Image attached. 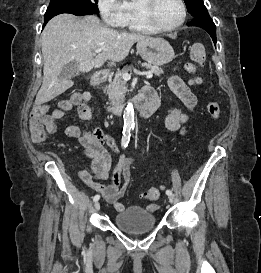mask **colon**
<instances>
[{
	"instance_id": "1",
	"label": "colon",
	"mask_w": 261,
	"mask_h": 273,
	"mask_svg": "<svg viewBox=\"0 0 261 273\" xmlns=\"http://www.w3.org/2000/svg\"><path fill=\"white\" fill-rule=\"evenodd\" d=\"M206 61V49L202 44H193L190 47V62L187 65L188 71L192 74V83L199 84L200 78L196 75V71L199 67H202ZM47 105L35 106L31 113L29 119V130L32 139L35 142L43 143L47 139V134L44 130L45 119L48 113ZM206 111L208 116L212 120H217L220 117V107L215 101H210L206 106ZM161 194V189L159 187H151L147 189L144 193V197L147 200L155 201L159 199Z\"/></svg>"
}]
</instances>
